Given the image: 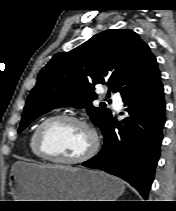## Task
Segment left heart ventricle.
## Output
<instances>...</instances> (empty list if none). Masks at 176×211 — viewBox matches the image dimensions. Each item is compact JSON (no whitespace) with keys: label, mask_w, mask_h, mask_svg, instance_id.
I'll return each mask as SVG.
<instances>
[{"label":"left heart ventricle","mask_w":176,"mask_h":211,"mask_svg":"<svg viewBox=\"0 0 176 211\" xmlns=\"http://www.w3.org/2000/svg\"><path fill=\"white\" fill-rule=\"evenodd\" d=\"M44 148L51 154L63 158H76L84 154L91 145V136L86 128L71 121H56L43 131Z\"/></svg>","instance_id":"b2bd125f"}]
</instances>
